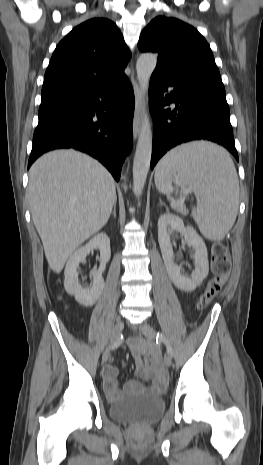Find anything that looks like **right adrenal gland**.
I'll use <instances>...</instances> for the list:
<instances>
[{"mask_svg": "<svg viewBox=\"0 0 263 465\" xmlns=\"http://www.w3.org/2000/svg\"><path fill=\"white\" fill-rule=\"evenodd\" d=\"M112 214H113V217H114V219H115V218H116V203L114 204V208H113Z\"/></svg>", "mask_w": 263, "mask_h": 465, "instance_id": "1", "label": "right adrenal gland"}]
</instances>
